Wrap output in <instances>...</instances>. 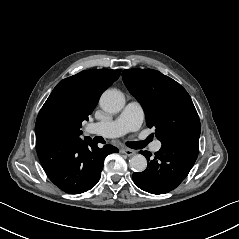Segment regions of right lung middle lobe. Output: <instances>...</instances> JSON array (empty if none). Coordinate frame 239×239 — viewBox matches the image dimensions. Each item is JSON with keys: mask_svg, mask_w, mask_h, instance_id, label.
Here are the masks:
<instances>
[{"mask_svg": "<svg viewBox=\"0 0 239 239\" xmlns=\"http://www.w3.org/2000/svg\"><path fill=\"white\" fill-rule=\"evenodd\" d=\"M83 120H87V118L82 114L69 110H57L48 116L47 127L50 133L77 138L82 134L80 128Z\"/></svg>", "mask_w": 239, "mask_h": 239, "instance_id": "1", "label": "right lung middle lobe"}]
</instances>
